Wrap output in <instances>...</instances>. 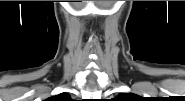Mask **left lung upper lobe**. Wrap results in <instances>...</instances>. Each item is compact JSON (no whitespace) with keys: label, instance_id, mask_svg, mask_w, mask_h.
Returning a JSON list of instances; mask_svg holds the SVG:
<instances>
[{"label":"left lung upper lobe","instance_id":"obj_1","mask_svg":"<svg viewBox=\"0 0 185 101\" xmlns=\"http://www.w3.org/2000/svg\"><path fill=\"white\" fill-rule=\"evenodd\" d=\"M133 97H135V95L131 94V93H129V94H120V99H131Z\"/></svg>","mask_w":185,"mask_h":101}]
</instances>
